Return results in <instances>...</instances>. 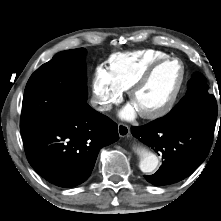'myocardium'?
Segmentation results:
<instances>
[{
  "mask_svg": "<svg viewBox=\"0 0 221 221\" xmlns=\"http://www.w3.org/2000/svg\"><path fill=\"white\" fill-rule=\"evenodd\" d=\"M170 62H178L181 65L182 73H181L180 82L175 92L171 96V98L163 106L153 111L139 112L140 116L144 119H147V120L160 119L166 116L167 114H169L173 110V108L176 106L187 82L188 74H187V68H186L185 63L180 58H177V57L169 56V57L159 59L155 61L154 63H152L128 89V97L130 101H132L137 91L140 90L149 82V80L151 79L153 74L156 72V70L160 68L161 66Z\"/></svg>",
  "mask_w": 221,
  "mask_h": 221,
  "instance_id": "myocardium-1",
  "label": "myocardium"
}]
</instances>
